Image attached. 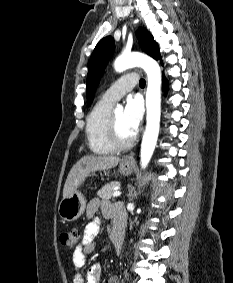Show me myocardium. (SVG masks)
Listing matches in <instances>:
<instances>
[{"instance_id":"f54148a6","label":"myocardium","mask_w":233,"mask_h":283,"mask_svg":"<svg viewBox=\"0 0 233 283\" xmlns=\"http://www.w3.org/2000/svg\"><path fill=\"white\" fill-rule=\"evenodd\" d=\"M107 138L109 144L114 150H125L133 145L136 140V134H133L126 141H121L117 134V126L114 112H111L107 127Z\"/></svg>"}]
</instances>
